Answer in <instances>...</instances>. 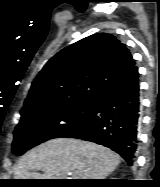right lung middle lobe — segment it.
I'll return each instance as SVG.
<instances>
[{
	"instance_id": "obj_1",
	"label": "right lung middle lobe",
	"mask_w": 160,
	"mask_h": 187,
	"mask_svg": "<svg viewBox=\"0 0 160 187\" xmlns=\"http://www.w3.org/2000/svg\"><path fill=\"white\" fill-rule=\"evenodd\" d=\"M98 98H79L21 112L12 150L22 155L49 139L63 137L81 126L94 112Z\"/></svg>"
}]
</instances>
